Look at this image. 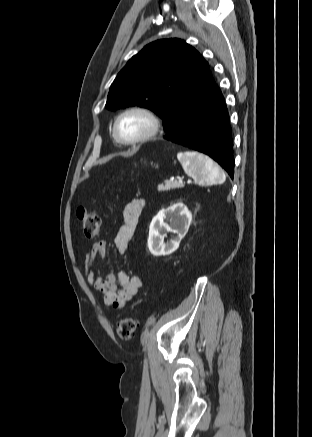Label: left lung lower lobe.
<instances>
[{"instance_id": "left-lung-lower-lobe-1", "label": "left lung lower lobe", "mask_w": 312, "mask_h": 437, "mask_svg": "<svg viewBox=\"0 0 312 437\" xmlns=\"http://www.w3.org/2000/svg\"><path fill=\"white\" fill-rule=\"evenodd\" d=\"M165 139L209 155L233 178L234 159L229 114L215 84Z\"/></svg>"}]
</instances>
